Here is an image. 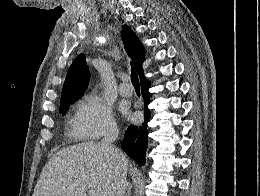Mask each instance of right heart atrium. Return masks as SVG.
Here are the masks:
<instances>
[{
    "instance_id": "d8ad5b80",
    "label": "right heart atrium",
    "mask_w": 260,
    "mask_h": 196,
    "mask_svg": "<svg viewBox=\"0 0 260 196\" xmlns=\"http://www.w3.org/2000/svg\"><path fill=\"white\" fill-rule=\"evenodd\" d=\"M117 127L111 107L96 92L86 94L77 103L70 122L73 135L81 143H105L97 140Z\"/></svg>"
}]
</instances>
